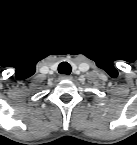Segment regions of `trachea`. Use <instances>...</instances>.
<instances>
[{"instance_id":"1","label":"trachea","mask_w":137,"mask_h":145,"mask_svg":"<svg viewBox=\"0 0 137 145\" xmlns=\"http://www.w3.org/2000/svg\"><path fill=\"white\" fill-rule=\"evenodd\" d=\"M71 65L68 62H61L58 66V72L60 74L69 75L71 73Z\"/></svg>"}]
</instances>
